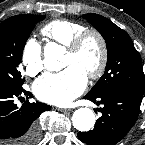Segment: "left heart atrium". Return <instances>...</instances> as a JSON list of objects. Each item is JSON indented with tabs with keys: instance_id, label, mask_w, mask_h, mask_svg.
I'll return each mask as SVG.
<instances>
[{
	"instance_id": "obj_1",
	"label": "left heart atrium",
	"mask_w": 145,
	"mask_h": 145,
	"mask_svg": "<svg viewBox=\"0 0 145 145\" xmlns=\"http://www.w3.org/2000/svg\"><path fill=\"white\" fill-rule=\"evenodd\" d=\"M87 84V75L72 65L54 74H45L33 85L34 94L41 101L65 106L80 95Z\"/></svg>"
}]
</instances>
